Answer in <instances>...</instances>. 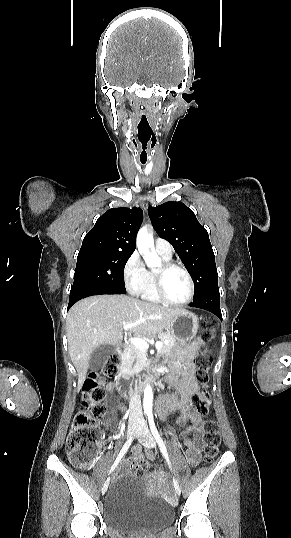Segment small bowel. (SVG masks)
<instances>
[{
    "mask_svg": "<svg viewBox=\"0 0 291 538\" xmlns=\"http://www.w3.org/2000/svg\"><path fill=\"white\" fill-rule=\"evenodd\" d=\"M196 349V345L188 347L171 363L168 380L177 389L178 395L166 393L160 395L157 400V409L162 417L180 411L181 414L177 419V425L181 427L188 425L181 433V437L183 438V444L186 449V457L192 466H196L201 460L205 432V424L201 416L197 412L187 408L188 401L198 390V384L193 377L192 365V357ZM117 384L116 381H112L106 387L109 393L107 399L109 414L105 420V425L109 428L115 426V418L118 413L126 410V406L112 396ZM188 434H192L193 437L187 438L186 436ZM132 455L135 461L141 459L140 446L136 445L133 447ZM148 457L153 458L154 454L149 452Z\"/></svg>",
    "mask_w": 291,
    "mask_h": 538,
    "instance_id": "c3829d8e",
    "label": "small bowel"
}]
</instances>
